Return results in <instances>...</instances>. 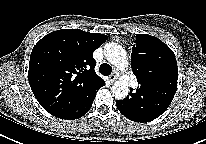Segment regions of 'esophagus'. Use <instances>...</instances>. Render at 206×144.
I'll list each match as a JSON object with an SVG mask.
<instances>
[{"instance_id": "34e87169", "label": "esophagus", "mask_w": 206, "mask_h": 144, "mask_svg": "<svg viewBox=\"0 0 206 144\" xmlns=\"http://www.w3.org/2000/svg\"><path fill=\"white\" fill-rule=\"evenodd\" d=\"M116 79H117L116 74H111V75L109 76V80H110V82H112V83L115 82Z\"/></svg>"}]
</instances>
